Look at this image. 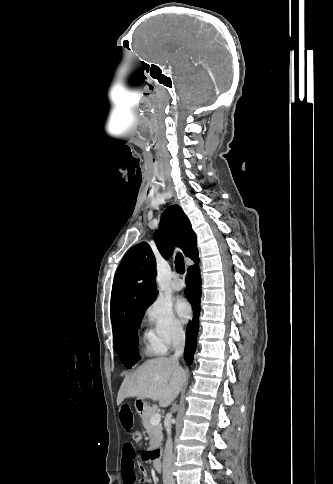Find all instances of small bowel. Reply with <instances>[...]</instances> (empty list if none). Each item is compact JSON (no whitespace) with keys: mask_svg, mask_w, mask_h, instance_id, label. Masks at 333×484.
Returning a JSON list of instances; mask_svg holds the SVG:
<instances>
[{"mask_svg":"<svg viewBox=\"0 0 333 484\" xmlns=\"http://www.w3.org/2000/svg\"><path fill=\"white\" fill-rule=\"evenodd\" d=\"M119 423L122 429L130 434L134 432V414L132 409L127 403H122L118 410ZM135 449L131 442L127 441L123 445L122 458H121V470L122 479L124 484H135L136 483V473H135ZM138 469L143 475L140 480L141 483H150L147 477V471L145 467L138 464Z\"/></svg>","mask_w":333,"mask_h":484,"instance_id":"small-bowel-1","label":"small bowel"}]
</instances>
